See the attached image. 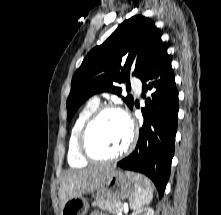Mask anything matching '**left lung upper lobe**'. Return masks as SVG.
Returning <instances> with one entry per match:
<instances>
[{
    "instance_id": "1",
    "label": "left lung upper lobe",
    "mask_w": 221,
    "mask_h": 215,
    "mask_svg": "<svg viewBox=\"0 0 221 215\" xmlns=\"http://www.w3.org/2000/svg\"><path fill=\"white\" fill-rule=\"evenodd\" d=\"M161 35L151 19L136 15L120 24L103 44L93 48L72 78L67 119L93 94L106 91L120 95L122 89L116 84L128 81L131 70L140 78L165 47ZM123 100L133 107L131 95Z\"/></svg>"
}]
</instances>
